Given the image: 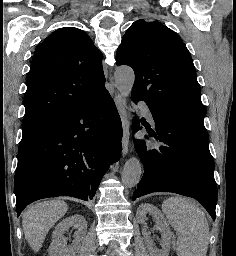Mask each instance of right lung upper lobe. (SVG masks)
<instances>
[{
	"instance_id": "cb5924a9",
	"label": "right lung upper lobe",
	"mask_w": 236,
	"mask_h": 256,
	"mask_svg": "<svg viewBox=\"0 0 236 256\" xmlns=\"http://www.w3.org/2000/svg\"><path fill=\"white\" fill-rule=\"evenodd\" d=\"M102 54L82 30L54 31L34 52L24 95L23 121L55 120L107 90Z\"/></svg>"
}]
</instances>
